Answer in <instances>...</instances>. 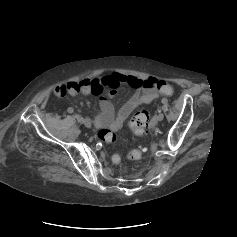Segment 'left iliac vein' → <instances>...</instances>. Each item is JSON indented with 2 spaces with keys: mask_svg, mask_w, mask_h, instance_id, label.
Returning a JSON list of instances; mask_svg holds the SVG:
<instances>
[{
  "mask_svg": "<svg viewBox=\"0 0 237 237\" xmlns=\"http://www.w3.org/2000/svg\"><path fill=\"white\" fill-rule=\"evenodd\" d=\"M163 118H164L163 113H160V114L157 116V121L160 122V121L163 120Z\"/></svg>",
  "mask_w": 237,
  "mask_h": 237,
  "instance_id": "obj_1",
  "label": "left iliac vein"
}]
</instances>
